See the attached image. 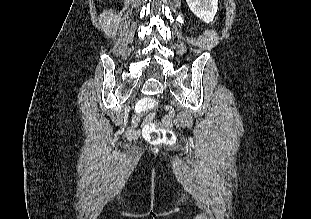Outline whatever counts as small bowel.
I'll return each instance as SVG.
<instances>
[{
  "mask_svg": "<svg viewBox=\"0 0 311 219\" xmlns=\"http://www.w3.org/2000/svg\"><path fill=\"white\" fill-rule=\"evenodd\" d=\"M168 114H170V112H168ZM139 122H140L139 116H134V117L132 118V123H131V126H130V128H129V136L133 137V136H135V135L138 134V129H137V127H138ZM164 124H165V125H169V124H170L169 120H168V119H165V120H164Z\"/></svg>",
  "mask_w": 311,
  "mask_h": 219,
  "instance_id": "small-bowel-1",
  "label": "small bowel"
}]
</instances>
